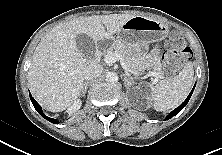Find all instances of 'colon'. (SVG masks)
Returning a JSON list of instances; mask_svg holds the SVG:
<instances>
[{"label":"colon","mask_w":222,"mask_h":155,"mask_svg":"<svg viewBox=\"0 0 222 155\" xmlns=\"http://www.w3.org/2000/svg\"><path fill=\"white\" fill-rule=\"evenodd\" d=\"M167 51L163 56V68L166 73H177L192 56L191 49L179 35H172L166 43Z\"/></svg>","instance_id":"1"}]
</instances>
